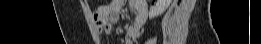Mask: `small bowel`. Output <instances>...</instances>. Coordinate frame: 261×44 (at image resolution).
Instances as JSON below:
<instances>
[{
  "label": "small bowel",
  "mask_w": 261,
  "mask_h": 44,
  "mask_svg": "<svg viewBox=\"0 0 261 44\" xmlns=\"http://www.w3.org/2000/svg\"><path fill=\"white\" fill-rule=\"evenodd\" d=\"M126 2L112 0L102 5L94 13V20L99 33H109L111 24L117 22ZM136 13L135 22L126 31L125 44H135L141 33V27L146 19L147 7L143 1L136 0L129 3Z\"/></svg>",
  "instance_id": "small-bowel-1"
}]
</instances>
